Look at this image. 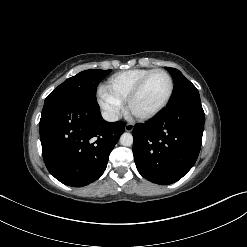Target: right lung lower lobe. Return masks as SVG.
Segmentation results:
<instances>
[{
	"label": "right lung lower lobe",
	"instance_id": "obj_1",
	"mask_svg": "<svg viewBox=\"0 0 247 247\" xmlns=\"http://www.w3.org/2000/svg\"><path fill=\"white\" fill-rule=\"evenodd\" d=\"M124 122H106L97 103L74 99L45 102L40 140L48 171L68 186L81 187L104 172Z\"/></svg>",
	"mask_w": 247,
	"mask_h": 247
}]
</instances>
